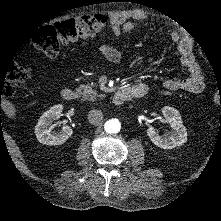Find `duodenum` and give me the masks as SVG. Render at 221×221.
I'll return each mask as SVG.
<instances>
[{
	"instance_id": "obj_1",
	"label": "duodenum",
	"mask_w": 221,
	"mask_h": 221,
	"mask_svg": "<svg viewBox=\"0 0 221 221\" xmlns=\"http://www.w3.org/2000/svg\"><path fill=\"white\" fill-rule=\"evenodd\" d=\"M146 89L145 87H137V88H124L115 92L113 95L112 101L115 105H121L132 98L141 97L145 95ZM62 98L65 101L72 102L78 98V93L73 89H64L62 91Z\"/></svg>"
}]
</instances>
